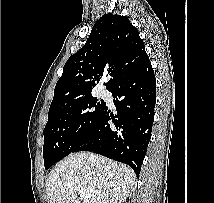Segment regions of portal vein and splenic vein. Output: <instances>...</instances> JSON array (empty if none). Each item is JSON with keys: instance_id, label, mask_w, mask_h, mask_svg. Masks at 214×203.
Returning a JSON list of instances; mask_svg holds the SVG:
<instances>
[{"instance_id": "portal-vein-and-splenic-vein-1", "label": "portal vein and splenic vein", "mask_w": 214, "mask_h": 203, "mask_svg": "<svg viewBox=\"0 0 214 203\" xmlns=\"http://www.w3.org/2000/svg\"><path fill=\"white\" fill-rule=\"evenodd\" d=\"M78 193H79V195H80V198H81L83 201H86V200L89 198V196H90V191H88V190L85 189V188H80V189L78 190Z\"/></svg>"}]
</instances>
